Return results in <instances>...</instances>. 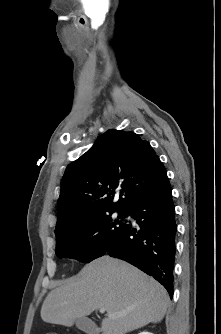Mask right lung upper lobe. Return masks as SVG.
<instances>
[{
	"instance_id": "cb5924a9",
	"label": "right lung upper lobe",
	"mask_w": 221,
	"mask_h": 334,
	"mask_svg": "<svg viewBox=\"0 0 221 334\" xmlns=\"http://www.w3.org/2000/svg\"><path fill=\"white\" fill-rule=\"evenodd\" d=\"M165 177V167L149 142L134 132L108 130L65 170L57 204L56 236L101 215L128 212ZM117 188L126 194L113 204Z\"/></svg>"
}]
</instances>
